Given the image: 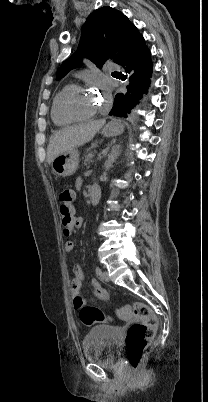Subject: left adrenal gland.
Instances as JSON below:
<instances>
[{
	"instance_id": "a2214340",
	"label": "left adrenal gland",
	"mask_w": 208,
	"mask_h": 402,
	"mask_svg": "<svg viewBox=\"0 0 208 402\" xmlns=\"http://www.w3.org/2000/svg\"><path fill=\"white\" fill-rule=\"evenodd\" d=\"M122 150H120V146H112V150L110 154H108V160H106L104 164V170H110L112 164L116 162L118 156H120Z\"/></svg>"
}]
</instances>
